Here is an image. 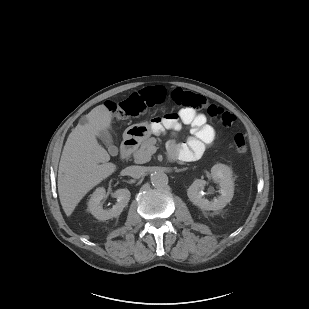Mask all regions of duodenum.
Masks as SVG:
<instances>
[{
  "label": "duodenum",
  "instance_id": "duodenum-1",
  "mask_svg": "<svg viewBox=\"0 0 309 309\" xmlns=\"http://www.w3.org/2000/svg\"><path fill=\"white\" fill-rule=\"evenodd\" d=\"M137 142L134 138L128 137L124 140L120 148V158H127L135 149Z\"/></svg>",
  "mask_w": 309,
  "mask_h": 309
}]
</instances>
